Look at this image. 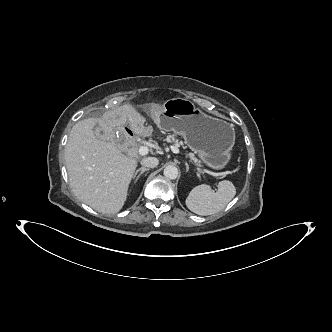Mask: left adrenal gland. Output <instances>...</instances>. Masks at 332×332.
<instances>
[{
    "instance_id": "obj_1",
    "label": "left adrenal gland",
    "mask_w": 332,
    "mask_h": 332,
    "mask_svg": "<svg viewBox=\"0 0 332 332\" xmlns=\"http://www.w3.org/2000/svg\"><path fill=\"white\" fill-rule=\"evenodd\" d=\"M185 165H186V171H188L189 170V166H188L187 162H185Z\"/></svg>"
}]
</instances>
